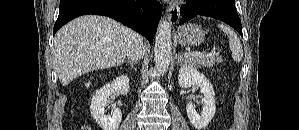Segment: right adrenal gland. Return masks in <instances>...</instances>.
<instances>
[{"mask_svg": "<svg viewBox=\"0 0 299 130\" xmlns=\"http://www.w3.org/2000/svg\"><path fill=\"white\" fill-rule=\"evenodd\" d=\"M125 63H128L132 68H134V65L136 64V61H135V60H130V59L128 58V61L125 62Z\"/></svg>", "mask_w": 299, "mask_h": 130, "instance_id": "obj_1", "label": "right adrenal gland"}]
</instances>
